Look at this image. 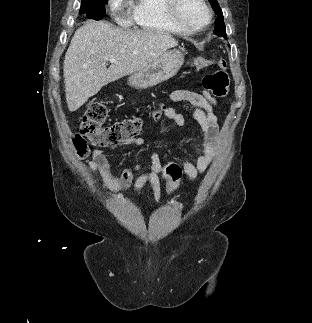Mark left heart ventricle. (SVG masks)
<instances>
[{
	"label": "left heart ventricle",
	"mask_w": 312,
	"mask_h": 323,
	"mask_svg": "<svg viewBox=\"0 0 312 323\" xmlns=\"http://www.w3.org/2000/svg\"><path fill=\"white\" fill-rule=\"evenodd\" d=\"M176 14L181 18H207L208 7H202L199 0H176Z\"/></svg>",
	"instance_id": "1"
}]
</instances>
